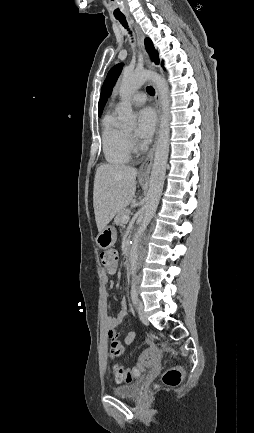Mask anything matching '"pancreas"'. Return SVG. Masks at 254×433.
Instances as JSON below:
<instances>
[{"label":"pancreas","mask_w":254,"mask_h":433,"mask_svg":"<svg viewBox=\"0 0 254 433\" xmlns=\"http://www.w3.org/2000/svg\"><path fill=\"white\" fill-rule=\"evenodd\" d=\"M130 209L129 208H124V209H122L121 211H119L117 214H116V217H115V219H114V223L116 224V225H123L124 224V222H123V217L124 216H129V214H130Z\"/></svg>","instance_id":"1"}]
</instances>
